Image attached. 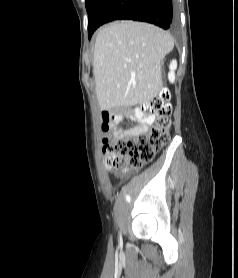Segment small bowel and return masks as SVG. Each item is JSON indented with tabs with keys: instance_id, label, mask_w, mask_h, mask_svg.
I'll use <instances>...</instances> for the list:
<instances>
[{
	"instance_id": "small-bowel-1",
	"label": "small bowel",
	"mask_w": 238,
	"mask_h": 278,
	"mask_svg": "<svg viewBox=\"0 0 238 278\" xmlns=\"http://www.w3.org/2000/svg\"><path fill=\"white\" fill-rule=\"evenodd\" d=\"M131 117L137 122V125L133 128L124 130L119 127V124L123 120L122 114L108 112V111L103 112L101 115L102 125L106 124L108 126V129L104 132H111L112 135H114L115 133L123 132V131H137L140 129H145L155 119L154 114L152 113L145 114L143 110H141L140 108H135L131 114Z\"/></svg>"
}]
</instances>
